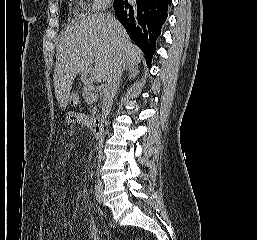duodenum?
Returning <instances> with one entry per match:
<instances>
[{
    "label": "duodenum",
    "instance_id": "410a0bca",
    "mask_svg": "<svg viewBox=\"0 0 257 240\" xmlns=\"http://www.w3.org/2000/svg\"><path fill=\"white\" fill-rule=\"evenodd\" d=\"M91 129L95 139L100 141L104 132L102 118L100 116L95 117L91 121Z\"/></svg>",
    "mask_w": 257,
    "mask_h": 240
}]
</instances>
